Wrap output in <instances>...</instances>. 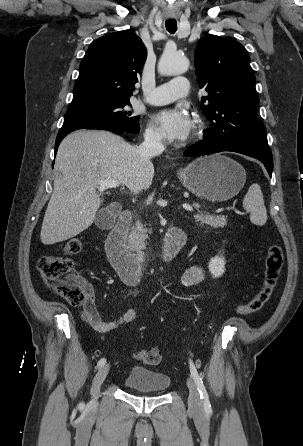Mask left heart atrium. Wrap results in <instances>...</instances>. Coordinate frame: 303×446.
Returning <instances> with one entry per match:
<instances>
[{"label": "left heart atrium", "mask_w": 303, "mask_h": 446, "mask_svg": "<svg viewBox=\"0 0 303 446\" xmlns=\"http://www.w3.org/2000/svg\"><path fill=\"white\" fill-rule=\"evenodd\" d=\"M161 133L169 140H184L188 137L192 122L187 111L181 107L163 109L154 116Z\"/></svg>", "instance_id": "left-heart-atrium-1"}]
</instances>
